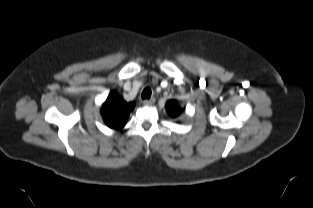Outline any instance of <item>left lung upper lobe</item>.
Wrapping results in <instances>:
<instances>
[{
  "label": "left lung upper lobe",
  "mask_w": 313,
  "mask_h": 208,
  "mask_svg": "<svg viewBox=\"0 0 313 208\" xmlns=\"http://www.w3.org/2000/svg\"><path fill=\"white\" fill-rule=\"evenodd\" d=\"M167 113L172 117H178L182 113L181 107L178 105L176 100H170L166 103Z\"/></svg>",
  "instance_id": "1"
}]
</instances>
